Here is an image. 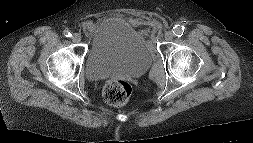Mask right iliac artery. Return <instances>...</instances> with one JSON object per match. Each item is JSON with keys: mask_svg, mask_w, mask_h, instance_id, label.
Wrapping results in <instances>:
<instances>
[{"mask_svg": "<svg viewBox=\"0 0 253 143\" xmlns=\"http://www.w3.org/2000/svg\"><path fill=\"white\" fill-rule=\"evenodd\" d=\"M64 35H65L66 37H71V36H72V34H71L68 30H65V31H64Z\"/></svg>", "mask_w": 253, "mask_h": 143, "instance_id": "82829eb1", "label": "right iliac artery"}]
</instances>
